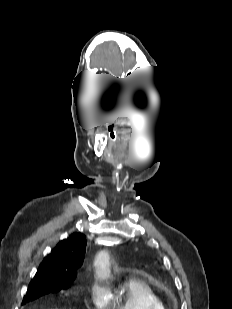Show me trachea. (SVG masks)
Here are the masks:
<instances>
[{
  "mask_svg": "<svg viewBox=\"0 0 232 309\" xmlns=\"http://www.w3.org/2000/svg\"><path fill=\"white\" fill-rule=\"evenodd\" d=\"M109 138L112 140V141H115L116 140V134L114 131L110 130L109 132Z\"/></svg>",
  "mask_w": 232,
  "mask_h": 309,
  "instance_id": "trachea-1",
  "label": "trachea"
}]
</instances>
